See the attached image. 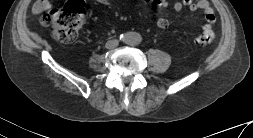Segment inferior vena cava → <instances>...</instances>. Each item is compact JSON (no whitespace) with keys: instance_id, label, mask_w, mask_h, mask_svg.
I'll list each match as a JSON object with an SVG mask.
<instances>
[{"instance_id":"inferior-vena-cava-1","label":"inferior vena cava","mask_w":253,"mask_h":138,"mask_svg":"<svg viewBox=\"0 0 253 138\" xmlns=\"http://www.w3.org/2000/svg\"><path fill=\"white\" fill-rule=\"evenodd\" d=\"M118 44H119L118 40H109L106 42L105 47L108 49H112L118 46Z\"/></svg>"}]
</instances>
